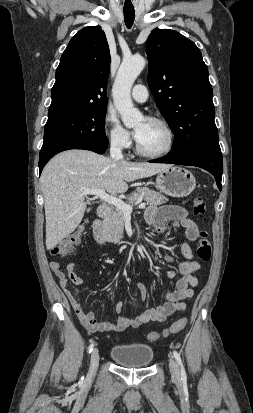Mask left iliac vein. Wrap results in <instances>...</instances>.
Listing matches in <instances>:
<instances>
[{
  "label": "left iliac vein",
  "mask_w": 253,
  "mask_h": 413,
  "mask_svg": "<svg viewBox=\"0 0 253 413\" xmlns=\"http://www.w3.org/2000/svg\"><path fill=\"white\" fill-rule=\"evenodd\" d=\"M169 368H170V372H171L172 377L175 380H179L180 379L179 367H178L176 361L173 358H171L170 361H169Z\"/></svg>",
  "instance_id": "obj_1"
}]
</instances>
